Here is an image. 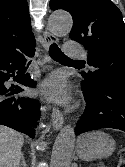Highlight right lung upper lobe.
Instances as JSON below:
<instances>
[{"label":"right lung upper lobe","instance_id":"cb5924a9","mask_svg":"<svg viewBox=\"0 0 125 167\" xmlns=\"http://www.w3.org/2000/svg\"><path fill=\"white\" fill-rule=\"evenodd\" d=\"M34 43L27 0H0V56Z\"/></svg>","mask_w":125,"mask_h":167}]
</instances>
